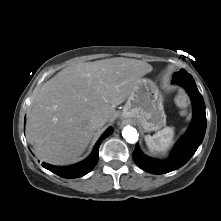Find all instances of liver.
Wrapping results in <instances>:
<instances>
[{
	"mask_svg": "<svg viewBox=\"0 0 221 221\" xmlns=\"http://www.w3.org/2000/svg\"><path fill=\"white\" fill-rule=\"evenodd\" d=\"M153 67L140 60L111 58L67 67L47 81L34 98L27 138L35 155L54 165L77 160L95 131L91 119L111 121Z\"/></svg>",
	"mask_w": 221,
	"mask_h": 221,
	"instance_id": "liver-1",
	"label": "liver"
}]
</instances>
